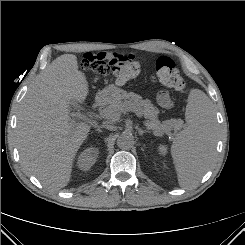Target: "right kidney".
Segmentation results:
<instances>
[{
	"label": "right kidney",
	"instance_id": "1",
	"mask_svg": "<svg viewBox=\"0 0 245 245\" xmlns=\"http://www.w3.org/2000/svg\"><path fill=\"white\" fill-rule=\"evenodd\" d=\"M99 150L97 148H87L80 153L77 159V165L81 170H88L94 165L98 157Z\"/></svg>",
	"mask_w": 245,
	"mask_h": 245
}]
</instances>
